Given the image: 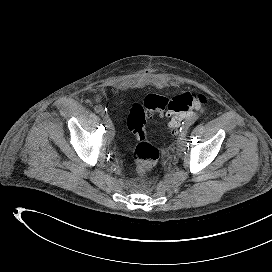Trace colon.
<instances>
[{"instance_id": "obj_1", "label": "colon", "mask_w": 272, "mask_h": 272, "mask_svg": "<svg viewBox=\"0 0 272 272\" xmlns=\"http://www.w3.org/2000/svg\"><path fill=\"white\" fill-rule=\"evenodd\" d=\"M206 104L205 95L183 91L173 97L150 94L142 102L131 106L127 124L138 141L133 153L138 174L149 173L159 158V149L151 143L146 130L148 119L154 113L166 112L171 117L172 127L175 128L182 118L191 117L195 111L203 110Z\"/></svg>"}]
</instances>
